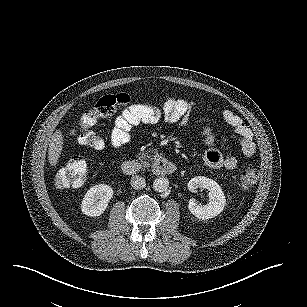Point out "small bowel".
Masks as SVG:
<instances>
[{
	"label": "small bowel",
	"instance_id": "1",
	"mask_svg": "<svg viewBox=\"0 0 307 307\" xmlns=\"http://www.w3.org/2000/svg\"><path fill=\"white\" fill-rule=\"evenodd\" d=\"M195 105L194 101L185 98H169L161 109L145 103L131 105L115 118L110 143L112 147L120 148L129 142L132 129L140 124H156L163 120L166 123L184 127ZM222 118L239 136L243 154L247 157L253 156L256 151L253 134L241 117L230 110H224ZM205 140L208 148L203 159L208 166L227 170L237 168L238 161L233 155H224L214 146V136L211 132H205Z\"/></svg>",
	"mask_w": 307,
	"mask_h": 307
}]
</instances>
